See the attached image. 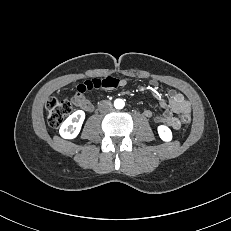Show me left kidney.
<instances>
[{"label":"left kidney","mask_w":231,"mask_h":231,"mask_svg":"<svg viewBox=\"0 0 231 231\" xmlns=\"http://www.w3.org/2000/svg\"><path fill=\"white\" fill-rule=\"evenodd\" d=\"M158 134L163 141H171L172 133L171 130L164 125L158 126Z\"/></svg>","instance_id":"obj_1"}]
</instances>
